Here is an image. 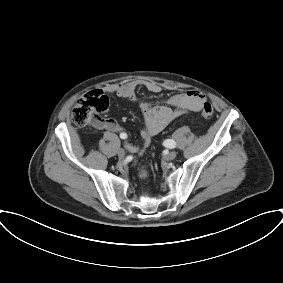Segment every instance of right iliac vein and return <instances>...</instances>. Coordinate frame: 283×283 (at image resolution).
<instances>
[{
    "instance_id": "right-iliac-vein-1",
    "label": "right iliac vein",
    "mask_w": 283,
    "mask_h": 283,
    "mask_svg": "<svg viewBox=\"0 0 283 283\" xmlns=\"http://www.w3.org/2000/svg\"><path fill=\"white\" fill-rule=\"evenodd\" d=\"M125 155H126V152H125L124 149H119V150H118V156H119V158L123 159V158L125 157Z\"/></svg>"
}]
</instances>
